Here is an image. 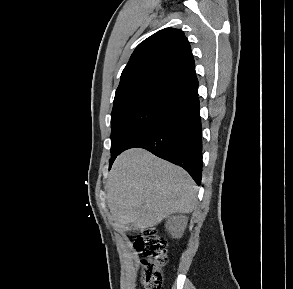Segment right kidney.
<instances>
[{
	"label": "right kidney",
	"mask_w": 293,
	"mask_h": 289,
	"mask_svg": "<svg viewBox=\"0 0 293 289\" xmlns=\"http://www.w3.org/2000/svg\"><path fill=\"white\" fill-rule=\"evenodd\" d=\"M187 224V218L185 216H173L171 220L167 222V228L171 232L172 236L179 238L182 236Z\"/></svg>",
	"instance_id": "right-kidney-1"
}]
</instances>
